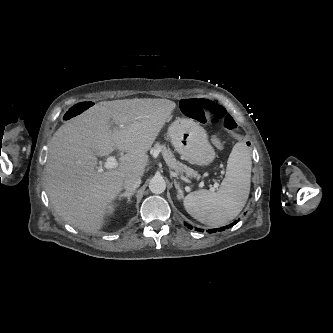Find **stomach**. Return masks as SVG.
<instances>
[{
    "label": "stomach",
    "instance_id": "0dacf381",
    "mask_svg": "<svg viewBox=\"0 0 333 333\" xmlns=\"http://www.w3.org/2000/svg\"><path fill=\"white\" fill-rule=\"evenodd\" d=\"M206 131L191 118H177L168 128V136L181 157L193 164L207 166L216 153Z\"/></svg>",
    "mask_w": 333,
    "mask_h": 333
}]
</instances>
